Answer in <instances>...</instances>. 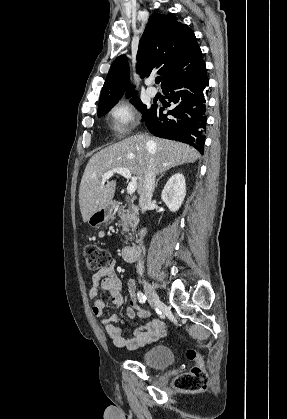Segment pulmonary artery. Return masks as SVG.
Wrapping results in <instances>:
<instances>
[{
	"instance_id": "pulmonary-artery-1",
	"label": "pulmonary artery",
	"mask_w": 287,
	"mask_h": 419,
	"mask_svg": "<svg viewBox=\"0 0 287 419\" xmlns=\"http://www.w3.org/2000/svg\"><path fill=\"white\" fill-rule=\"evenodd\" d=\"M146 85H147V89H146L147 94L150 97H155L157 95V89L151 86L152 85V80L148 79L146 81Z\"/></svg>"
}]
</instances>
